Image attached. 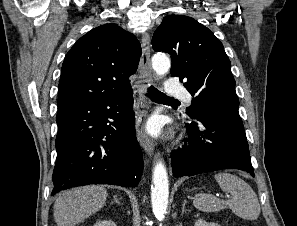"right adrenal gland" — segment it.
<instances>
[{
  "mask_svg": "<svg viewBox=\"0 0 297 226\" xmlns=\"http://www.w3.org/2000/svg\"><path fill=\"white\" fill-rule=\"evenodd\" d=\"M112 203H117V204H119V205H122V203L119 202V200H118V198H117L116 195L114 196V201H113Z\"/></svg>",
  "mask_w": 297,
  "mask_h": 226,
  "instance_id": "1",
  "label": "right adrenal gland"
}]
</instances>
